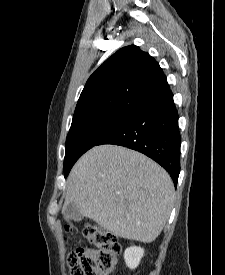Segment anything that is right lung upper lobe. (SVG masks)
<instances>
[{
	"label": "right lung upper lobe",
	"mask_w": 225,
	"mask_h": 275,
	"mask_svg": "<svg viewBox=\"0 0 225 275\" xmlns=\"http://www.w3.org/2000/svg\"><path fill=\"white\" fill-rule=\"evenodd\" d=\"M171 93L158 62L139 47L127 46L89 77L72 121L103 112L130 113Z\"/></svg>",
	"instance_id": "obj_1"
}]
</instances>
